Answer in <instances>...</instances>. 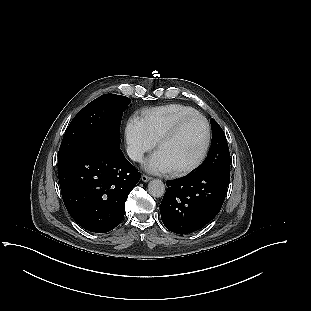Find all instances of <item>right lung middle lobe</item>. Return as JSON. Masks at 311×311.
<instances>
[{
  "label": "right lung middle lobe",
  "mask_w": 311,
  "mask_h": 311,
  "mask_svg": "<svg viewBox=\"0 0 311 311\" xmlns=\"http://www.w3.org/2000/svg\"><path fill=\"white\" fill-rule=\"evenodd\" d=\"M130 102L125 96L105 94L87 104L65 132L58 163L89 146L119 147L121 119Z\"/></svg>",
  "instance_id": "dd1d6c3e"
}]
</instances>
